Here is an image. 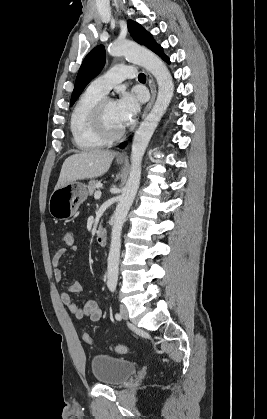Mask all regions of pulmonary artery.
Masks as SVG:
<instances>
[{
    "label": "pulmonary artery",
    "mask_w": 267,
    "mask_h": 419,
    "mask_svg": "<svg viewBox=\"0 0 267 419\" xmlns=\"http://www.w3.org/2000/svg\"><path fill=\"white\" fill-rule=\"evenodd\" d=\"M135 76V69L133 67L119 64L113 66L106 73L93 80L89 87L102 94H107L115 85L127 78H134Z\"/></svg>",
    "instance_id": "pulmonary-artery-1"
}]
</instances>
